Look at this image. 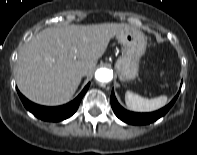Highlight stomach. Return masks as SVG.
Instances as JSON below:
<instances>
[{"instance_id":"0dacf381","label":"stomach","mask_w":197,"mask_h":155,"mask_svg":"<svg viewBox=\"0 0 197 155\" xmlns=\"http://www.w3.org/2000/svg\"><path fill=\"white\" fill-rule=\"evenodd\" d=\"M122 45V56L116 61L115 68L121 81H132L139 75V63L147 47L146 36L137 29L124 27L116 34Z\"/></svg>"}]
</instances>
